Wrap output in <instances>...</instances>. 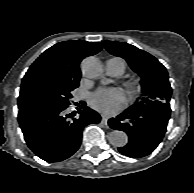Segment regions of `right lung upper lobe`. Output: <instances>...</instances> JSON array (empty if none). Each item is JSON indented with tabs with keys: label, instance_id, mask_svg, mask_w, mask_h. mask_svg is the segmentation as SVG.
Listing matches in <instances>:
<instances>
[{
	"label": "right lung upper lobe",
	"instance_id": "cb5924a9",
	"mask_svg": "<svg viewBox=\"0 0 194 193\" xmlns=\"http://www.w3.org/2000/svg\"><path fill=\"white\" fill-rule=\"evenodd\" d=\"M102 49L101 42L83 40L65 41L47 49L30 66L22 79L20 97L29 94L33 82L42 77H57L79 82L81 72L79 64L87 55H94Z\"/></svg>",
	"mask_w": 194,
	"mask_h": 193
}]
</instances>
